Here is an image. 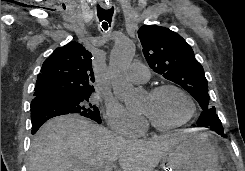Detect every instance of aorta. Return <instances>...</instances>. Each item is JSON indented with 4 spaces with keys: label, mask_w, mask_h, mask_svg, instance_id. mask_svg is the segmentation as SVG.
Wrapping results in <instances>:
<instances>
[{
    "label": "aorta",
    "mask_w": 245,
    "mask_h": 171,
    "mask_svg": "<svg viewBox=\"0 0 245 171\" xmlns=\"http://www.w3.org/2000/svg\"><path fill=\"white\" fill-rule=\"evenodd\" d=\"M135 55L134 41L129 38L117 40L109 56V71L113 78V90L130 111H140L144 92L125 80V74Z\"/></svg>",
    "instance_id": "aorta-1"
}]
</instances>
